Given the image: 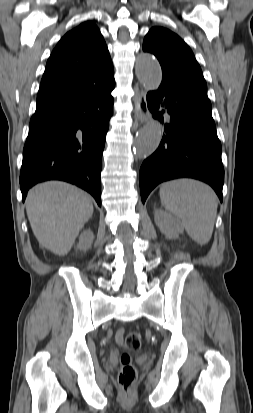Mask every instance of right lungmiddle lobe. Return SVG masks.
Segmentation results:
<instances>
[{"mask_svg":"<svg viewBox=\"0 0 253 413\" xmlns=\"http://www.w3.org/2000/svg\"><path fill=\"white\" fill-rule=\"evenodd\" d=\"M50 117H32L31 120H30L29 129H33V128H36L38 126L46 124L50 120Z\"/></svg>","mask_w":253,"mask_h":413,"instance_id":"right-lung-middle-lobe-1","label":"right lung middle lobe"}]
</instances>
